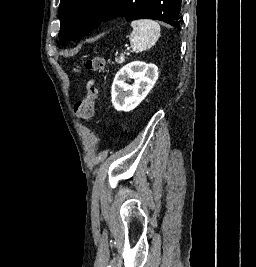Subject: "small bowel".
Instances as JSON below:
<instances>
[{"instance_id": "1", "label": "small bowel", "mask_w": 256, "mask_h": 267, "mask_svg": "<svg viewBox=\"0 0 256 267\" xmlns=\"http://www.w3.org/2000/svg\"><path fill=\"white\" fill-rule=\"evenodd\" d=\"M94 84V81L93 80H90L87 84V87L90 88L92 85Z\"/></svg>"}]
</instances>
